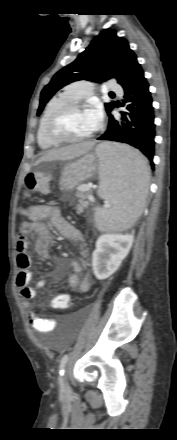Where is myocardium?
I'll list each match as a JSON object with an SVG mask.
<instances>
[{
	"mask_svg": "<svg viewBox=\"0 0 177 440\" xmlns=\"http://www.w3.org/2000/svg\"><path fill=\"white\" fill-rule=\"evenodd\" d=\"M86 106L79 102H71L68 103L57 111H55L52 116L49 118L46 124V135L55 143L58 144H71V143H80L89 140L93 133L91 132L89 135L82 138H68L64 136L60 131V125L62 120L72 111L77 110H85Z\"/></svg>",
	"mask_w": 177,
	"mask_h": 440,
	"instance_id": "myocardium-1",
	"label": "myocardium"
}]
</instances>
